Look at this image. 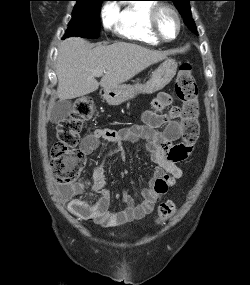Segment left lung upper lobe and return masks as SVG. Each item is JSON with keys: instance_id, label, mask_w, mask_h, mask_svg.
<instances>
[{"instance_id": "left-lung-upper-lobe-1", "label": "left lung upper lobe", "mask_w": 250, "mask_h": 285, "mask_svg": "<svg viewBox=\"0 0 250 285\" xmlns=\"http://www.w3.org/2000/svg\"><path fill=\"white\" fill-rule=\"evenodd\" d=\"M173 1L176 8L179 10L180 14L183 17L184 23L187 27L196 35H198L194 21L191 16V10L189 2L192 0H170Z\"/></svg>"}]
</instances>
